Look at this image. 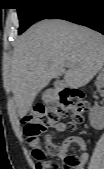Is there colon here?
<instances>
[{
	"instance_id": "5ec220e1",
	"label": "colon",
	"mask_w": 104,
	"mask_h": 169,
	"mask_svg": "<svg viewBox=\"0 0 104 169\" xmlns=\"http://www.w3.org/2000/svg\"><path fill=\"white\" fill-rule=\"evenodd\" d=\"M87 108V101L83 92L72 89L62 94L61 102L56 107L37 105L32 107L22 118V125L27 143L31 146L33 158L36 160V169H59L55 157L58 147L51 143H42L39 136L48 128L53 127L65 116H71L69 129L83 121V114ZM65 169H76L79 158L68 155L64 159Z\"/></svg>"
}]
</instances>
